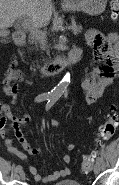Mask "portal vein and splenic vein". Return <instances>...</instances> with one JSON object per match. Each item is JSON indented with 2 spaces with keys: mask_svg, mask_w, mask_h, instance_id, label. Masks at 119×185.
<instances>
[{
  "mask_svg": "<svg viewBox=\"0 0 119 185\" xmlns=\"http://www.w3.org/2000/svg\"><path fill=\"white\" fill-rule=\"evenodd\" d=\"M22 26L28 30L31 31V33H34L39 39H41L42 41H45L46 39V34L40 30H38L36 27H34L30 21L26 18H24L23 24ZM76 27V26H72V29Z\"/></svg>",
  "mask_w": 119,
  "mask_h": 185,
  "instance_id": "18ae733b",
  "label": "portal vein and splenic vein"
}]
</instances>
